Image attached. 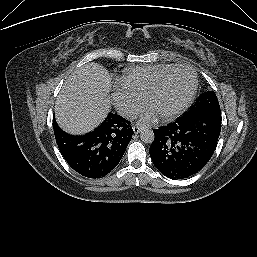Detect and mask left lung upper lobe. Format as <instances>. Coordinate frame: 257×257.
<instances>
[{
  "mask_svg": "<svg viewBox=\"0 0 257 257\" xmlns=\"http://www.w3.org/2000/svg\"><path fill=\"white\" fill-rule=\"evenodd\" d=\"M206 109L210 110H220V105L217 96L213 90H207L202 93L194 103V105L189 109V112L197 113Z\"/></svg>",
  "mask_w": 257,
  "mask_h": 257,
  "instance_id": "obj_1",
  "label": "left lung upper lobe"
}]
</instances>
